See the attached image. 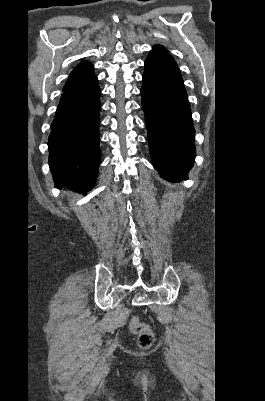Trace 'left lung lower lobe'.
<instances>
[{
	"mask_svg": "<svg viewBox=\"0 0 265 401\" xmlns=\"http://www.w3.org/2000/svg\"><path fill=\"white\" fill-rule=\"evenodd\" d=\"M141 95L154 167L165 179L185 178L194 162L195 129L176 62L148 56Z\"/></svg>",
	"mask_w": 265,
	"mask_h": 401,
	"instance_id": "obj_1",
	"label": "left lung lower lobe"
}]
</instances>
